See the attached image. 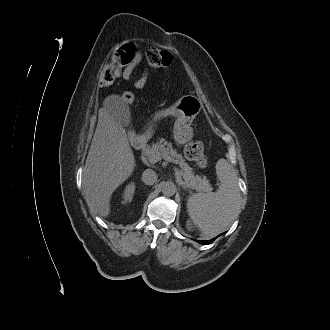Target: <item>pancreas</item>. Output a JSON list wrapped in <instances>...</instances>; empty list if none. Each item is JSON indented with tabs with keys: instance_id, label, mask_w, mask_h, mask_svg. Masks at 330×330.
Returning <instances> with one entry per match:
<instances>
[{
	"instance_id": "pancreas-1",
	"label": "pancreas",
	"mask_w": 330,
	"mask_h": 330,
	"mask_svg": "<svg viewBox=\"0 0 330 330\" xmlns=\"http://www.w3.org/2000/svg\"><path fill=\"white\" fill-rule=\"evenodd\" d=\"M143 154L149 158L151 154L158 156L160 159L173 160L180 166V175L183 178V183L185 187L196 191L209 192L212 190V186L206 177L199 175H194L193 169L185 162L182 155L178 154L176 150L173 149L170 142L165 141L161 138L155 144L147 146L143 150Z\"/></svg>"
}]
</instances>
